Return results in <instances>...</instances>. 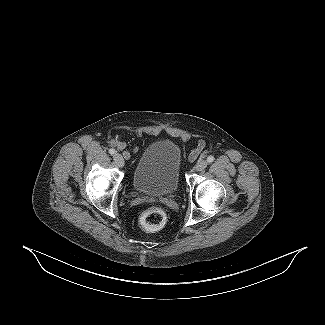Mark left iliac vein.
Returning a JSON list of instances; mask_svg holds the SVG:
<instances>
[{"mask_svg": "<svg viewBox=\"0 0 325 325\" xmlns=\"http://www.w3.org/2000/svg\"><path fill=\"white\" fill-rule=\"evenodd\" d=\"M207 167V161L204 159L199 160L196 165H195V170L196 171H202Z\"/></svg>", "mask_w": 325, "mask_h": 325, "instance_id": "4c4485c4", "label": "left iliac vein"}]
</instances>
